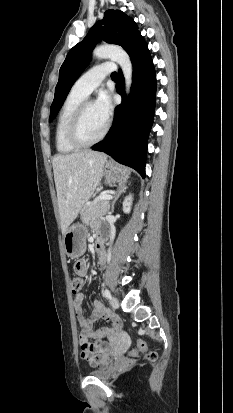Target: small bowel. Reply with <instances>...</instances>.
Returning <instances> with one entry per match:
<instances>
[{
	"instance_id": "small-bowel-1",
	"label": "small bowel",
	"mask_w": 233,
	"mask_h": 413,
	"mask_svg": "<svg viewBox=\"0 0 233 413\" xmlns=\"http://www.w3.org/2000/svg\"><path fill=\"white\" fill-rule=\"evenodd\" d=\"M95 226L97 227L98 224L95 223ZM103 252L106 257L104 248ZM73 267L74 275L84 276L88 271L87 264L83 260L75 261ZM83 301V293L74 294V310L81 328L79 335L81 358L90 366L104 367L110 363L119 349L120 319L99 300L93 302L91 315L86 318L82 309ZM99 319H104L108 325L94 329V324Z\"/></svg>"
}]
</instances>
